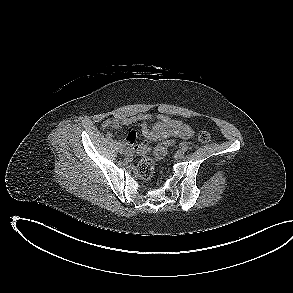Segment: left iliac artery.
Instances as JSON below:
<instances>
[{"label":"left iliac artery","instance_id":"left-iliac-artery-1","mask_svg":"<svg viewBox=\"0 0 293 293\" xmlns=\"http://www.w3.org/2000/svg\"><path fill=\"white\" fill-rule=\"evenodd\" d=\"M180 149H181L182 151H187L188 146H187L186 144H184V143H181V145H180Z\"/></svg>","mask_w":293,"mask_h":293}]
</instances>
